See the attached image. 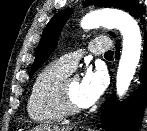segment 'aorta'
<instances>
[{"mask_svg": "<svg viewBox=\"0 0 147 131\" xmlns=\"http://www.w3.org/2000/svg\"><path fill=\"white\" fill-rule=\"evenodd\" d=\"M99 26L117 28L123 36L122 55L116 77L117 94L122 97L130 86L140 60V28L129 14L114 9H103L90 13L81 20V27L84 29Z\"/></svg>", "mask_w": 147, "mask_h": 131, "instance_id": "1", "label": "aorta"}]
</instances>
